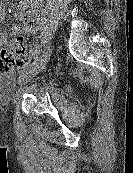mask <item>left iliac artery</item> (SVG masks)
<instances>
[{
  "mask_svg": "<svg viewBox=\"0 0 133 173\" xmlns=\"http://www.w3.org/2000/svg\"><path fill=\"white\" fill-rule=\"evenodd\" d=\"M50 54H51L50 48H49V47H45L44 52H43V55L41 56V58H42V57L49 56ZM37 60H39L38 57H36V60H35V61H33V62H31V63L25 65V66L22 68L21 72L23 73V72H25L26 70H28L29 68L33 67V66L36 64Z\"/></svg>",
  "mask_w": 133,
  "mask_h": 173,
  "instance_id": "44dca946",
  "label": "left iliac artery"
}]
</instances>
